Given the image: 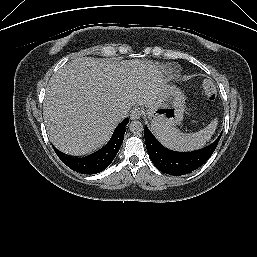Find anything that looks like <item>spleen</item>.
<instances>
[{"instance_id":"1","label":"spleen","mask_w":257,"mask_h":257,"mask_svg":"<svg viewBox=\"0 0 257 257\" xmlns=\"http://www.w3.org/2000/svg\"><path fill=\"white\" fill-rule=\"evenodd\" d=\"M218 120L214 119L204 129L196 133H182L175 127L161 128L151 126L155 137L165 147L175 151H193L202 148L214 134Z\"/></svg>"}]
</instances>
